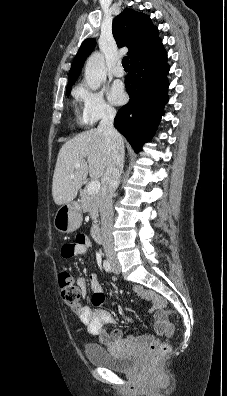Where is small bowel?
<instances>
[{
    "label": "small bowel",
    "instance_id": "obj_1",
    "mask_svg": "<svg viewBox=\"0 0 227 396\" xmlns=\"http://www.w3.org/2000/svg\"><path fill=\"white\" fill-rule=\"evenodd\" d=\"M90 241L85 235H78L74 242L67 243L62 248L64 257H72L76 254H84L88 252ZM91 290L93 292V303L101 305L104 301V292L101 283L96 275L92 274L89 277ZM76 285L79 289L80 295L84 297L87 293V282L84 278H78ZM133 291L142 299L151 302V311L154 313V328L157 337L144 336L135 338L133 336L123 337L120 329L114 328L110 331L107 328L114 323L113 315L104 309L92 310L88 306H83L79 318L87 327L91 335L97 336L101 344L106 347H115L122 344L132 343H149L151 347H155L158 343V337L162 335L170 336L172 334V326L164 314V307L166 301L161 296L157 295L151 290L144 289L139 285L133 287Z\"/></svg>",
    "mask_w": 227,
    "mask_h": 396
}]
</instances>
